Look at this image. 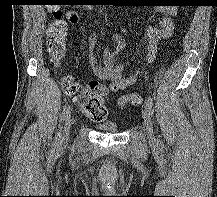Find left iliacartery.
<instances>
[{
    "mask_svg": "<svg viewBox=\"0 0 217 197\" xmlns=\"http://www.w3.org/2000/svg\"><path fill=\"white\" fill-rule=\"evenodd\" d=\"M145 108L148 110L150 115L154 114L153 105L151 99H147L145 102ZM158 145H162V142L160 140L157 141Z\"/></svg>",
    "mask_w": 217,
    "mask_h": 197,
    "instance_id": "44dca946",
    "label": "left iliac artery"
}]
</instances>
